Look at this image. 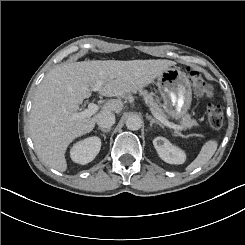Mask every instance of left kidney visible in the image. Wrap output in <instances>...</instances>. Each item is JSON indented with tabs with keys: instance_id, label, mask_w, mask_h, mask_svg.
<instances>
[{
	"instance_id": "left-kidney-1",
	"label": "left kidney",
	"mask_w": 245,
	"mask_h": 245,
	"mask_svg": "<svg viewBox=\"0 0 245 245\" xmlns=\"http://www.w3.org/2000/svg\"><path fill=\"white\" fill-rule=\"evenodd\" d=\"M153 145L159 157L169 164H183L186 160V154L180 148L172 145L168 139L164 137H156Z\"/></svg>"
}]
</instances>
